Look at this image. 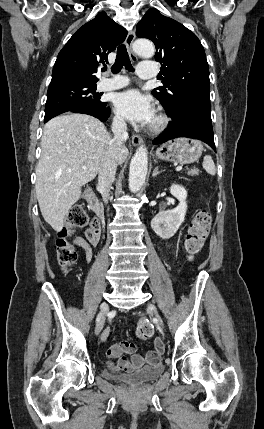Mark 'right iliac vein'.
<instances>
[{
    "label": "right iliac vein",
    "instance_id": "right-iliac-vein-1",
    "mask_svg": "<svg viewBox=\"0 0 264 429\" xmlns=\"http://www.w3.org/2000/svg\"><path fill=\"white\" fill-rule=\"evenodd\" d=\"M103 310L104 311L101 313V318H100V320H99V322H98V324L96 326V329H95V334L96 335H99V333L103 329L104 323L106 322L107 317H108L107 312L109 311V307H107L106 309L103 308Z\"/></svg>",
    "mask_w": 264,
    "mask_h": 429
}]
</instances>
